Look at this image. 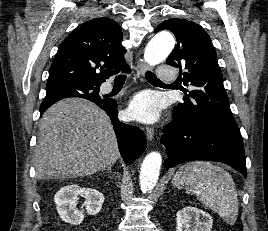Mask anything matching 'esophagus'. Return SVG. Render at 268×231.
Segmentation results:
<instances>
[{
    "label": "esophagus",
    "mask_w": 268,
    "mask_h": 231,
    "mask_svg": "<svg viewBox=\"0 0 268 231\" xmlns=\"http://www.w3.org/2000/svg\"><path fill=\"white\" fill-rule=\"evenodd\" d=\"M149 70L148 64H146L142 59L137 62L136 71L139 77L144 76L145 72ZM146 137L149 141H152L154 138V129L151 127L146 128Z\"/></svg>",
    "instance_id": "34e87169"
}]
</instances>
